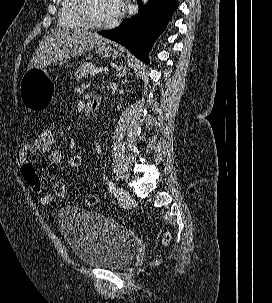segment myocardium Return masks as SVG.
<instances>
[{
  "label": "myocardium",
  "mask_w": 272,
  "mask_h": 303,
  "mask_svg": "<svg viewBox=\"0 0 272 303\" xmlns=\"http://www.w3.org/2000/svg\"><path fill=\"white\" fill-rule=\"evenodd\" d=\"M90 2L91 0H78L77 14L85 26L95 30L106 29L113 26L114 22L112 20L105 23H98L92 19L89 10Z\"/></svg>",
  "instance_id": "f54148a6"
}]
</instances>
